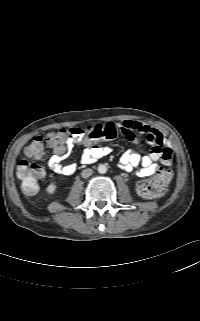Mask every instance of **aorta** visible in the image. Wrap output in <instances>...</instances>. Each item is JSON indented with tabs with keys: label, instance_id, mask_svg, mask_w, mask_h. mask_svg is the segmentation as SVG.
Segmentation results:
<instances>
[{
	"label": "aorta",
	"instance_id": "762f6f07",
	"mask_svg": "<svg viewBox=\"0 0 200 321\" xmlns=\"http://www.w3.org/2000/svg\"><path fill=\"white\" fill-rule=\"evenodd\" d=\"M98 172L100 173V174H104V173H106L107 172V167L105 166V165H103V164H101V165H99L98 166Z\"/></svg>",
	"mask_w": 200,
	"mask_h": 321
}]
</instances>
